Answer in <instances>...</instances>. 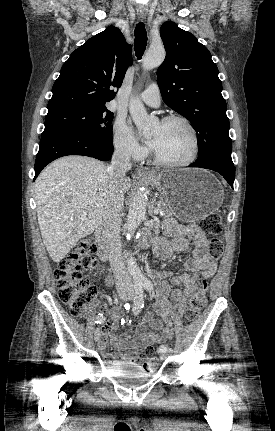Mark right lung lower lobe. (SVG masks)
<instances>
[{
  "label": "right lung lower lobe",
  "mask_w": 275,
  "mask_h": 431,
  "mask_svg": "<svg viewBox=\"0 0 275 431\" xmlns=\"http://www.w3.org/2000/svg\"><path fill=\"white\" fill-rule=\"evenodd\" d=\"M113 143L98 137L68 131L43 133L35 161V177L53 160L66 155H85L102 161L111 159Z\"/></svg>",
  "instance_id": "98d812e1"
}]
</instances>
